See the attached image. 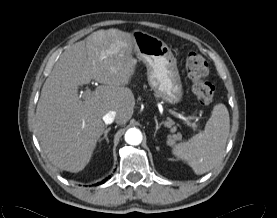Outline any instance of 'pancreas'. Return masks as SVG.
Returning <instances> with one entry per match:
<instances>
[{
  "label": "pancreas",
  "instance_id": "cf45deb5",
  "mask_svg": "<svg viewBox=\"0 0 277 218\" xmlns=\"http://www.w3.org/2000/svg\"><path fill=\"white\" fill-rule=\"evenodd\" d=\"M189 125H191L192 127H195L196 125L195 124H191V123H189V122H187Z\"/></svg>",
  "mask_w": 277,
  "mask_h": 218
}]
</instances>
